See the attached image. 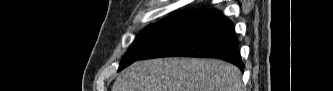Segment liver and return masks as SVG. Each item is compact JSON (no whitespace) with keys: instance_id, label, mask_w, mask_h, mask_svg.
I'll return each instance as SVG.
<instances>
[{"instance_id":"1","label":"liver","mask_w":333,"mask_h":91,"mask_svg":"<svg viewBox=\"0 0 333 91\" xmlns=\"http://www.w3.org/2000/svg\"><path fill=\"white\" fill-rule=\"evenodd\" d=\"M112 91H242L241 72L216 59L138 61L122 72Z\"/></svg>"}]
</instances>
